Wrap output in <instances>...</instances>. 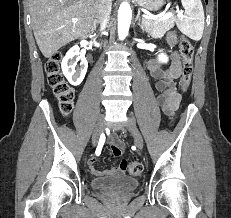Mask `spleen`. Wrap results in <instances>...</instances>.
I'll return each instance as SVG.
<instances>
[{"label": "spleen", "mask_w": 231, "mask_h": 218, "mask_svg": "<svg viewBox=\"0 0 231 218\" xmlns=\"http://www.w3.org/2000/svg\"><path fill=\"white\" fill-rule=\"evenodd\" d=\"M184 15L177 20L179 30L189 38L199 41L204 30V10L201 0H181Z\"/></svg>", "instance_id": "spleen-1"}]
</instances>
